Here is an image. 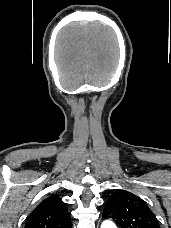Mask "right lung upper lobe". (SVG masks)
<instances>
[{
	"mask_svg": "<svg viewBox=\"0 0 171 228\" xmlns=\"http://www.w3.org/2000/svg\"><path fill=\"white\" fill-rule=\"evenodd\" d=\"M25 228H71L70 214L56 195L41 202L30 214Z\"/></svg>",
	"mask_w": 171,
	"mask_h": 228,
	"instance_id": "1",
	"label": "right lung upper lobe"
}]
</instances>
